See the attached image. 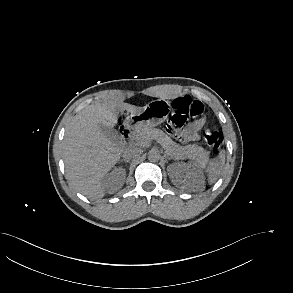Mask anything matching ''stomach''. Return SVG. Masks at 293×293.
<instances>
[{"label":"stomach","mask_w":293,"mask_h":293,"mask_svg":"<svg viewBox=\"0 0 293 293\" xmlns=\"http://www.w3.org/2000/svg\"><path fill=\"white\" fill-rule=\"evenodd\" d=\"M171 110L170 102L165 99H157L148 103L138 113L130 115L127 124L137 127H155L160 125L168 117Z\"/></svg>","instance_id":"0dacf381"}]
</instances>
